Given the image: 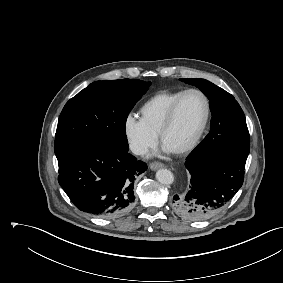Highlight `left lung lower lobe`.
I'll return each mask as SVG.
<instances>
[{"label": "left lung lower lobe", "mask_w": 283, "mask_h": 283, "mask_svg": "<svg viewBox=\"0 0 283 283\" xmlns=\"http://www.w3.org/2000/svg\"><path fill=\"white\" fill-rule=\"evenodd\" d=\"M247 156L233 151L188 156L189 189L173 197L174 211L187 220H204L219 212L242 186Z\"/></svg>", "instance_id": "obj_1"}]
</instances>
